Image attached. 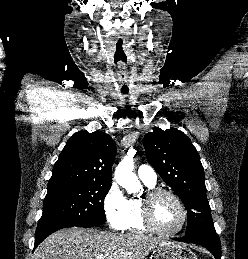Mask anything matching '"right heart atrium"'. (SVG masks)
<instances>
[{"mask_svg": "<svg viewBox=\"0 0 248 259\" xmlns=\"http://www.w3.org/2000/svg\"><path fill=\"white\" fill-rule=\"evenodd\" d=\"M103 208L110 227L123 230L128 211V199L117 184L113 183L107 191Z\"/></svg>", "mask_w": 248, "mask_h": 259, "instance_id": "d8ad5b80", "label": "right heart atrium"}]
</instances>
